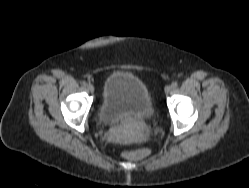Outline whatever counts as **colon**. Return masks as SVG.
<instances>
[{"label": "colon", "instance_id": "obj_1", "mask_svg": "<svg viewBox=\"0 0 249 188\" xmlns=\"http://www.w3.org/2000/svg\"><path fill=\"white\" fill-rule=\"evenodd\" d=\"M124 156L125 157H133V156L141 157V156H143V154L141 152L135 153V154H133V153H124Z\"/></svg>", "mask_w": 249, "mask_h": 188}]
</instances>
